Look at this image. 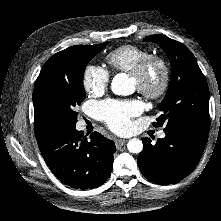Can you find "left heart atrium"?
<instances>
[{
	"label": "left heart atrium",
	"instance_id": "1",
	"mask_svg": "<svg viewBox=\"0 0 221 221\" xmlns=\"http://www.w3.org/2000/svg\"><path fill=\"white\" fill-rule=\"evenodd\" d=\"M97 115L117 133H126L130 129L131 117L142 111V104L137 100L105 101L96 107Z\"/></svg>",
	"mask_w": 221,
	"mask_h": 221
}]
</instances>
